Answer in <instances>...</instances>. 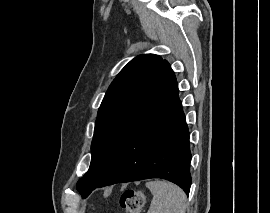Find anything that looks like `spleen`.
I'll return each instance as SVG.
<instances>
[{
  "label": "spleen",
  "mask_w": 270,
  "mask_h": 213,
  "mask_svg": "<svg viewBox=\"0 0 270 213\" xmlns=\"http://www.w3.org/2000/svg\"><path fill=\"white\" fill-rule=\"evenodd\" d=\"M146 187L153 195L147 213H185L187 198L180 187L163 180L149 181Z\"/></svg>",
  "instance_id": "spleen-1"
}]
</instances>
